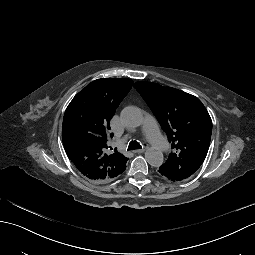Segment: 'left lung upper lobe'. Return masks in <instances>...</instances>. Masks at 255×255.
<instances>
[{
  "label": "left lung upper lobe",
  "instance_id": "5c2ea615",
  "mask_svg": "<svg viewBox=\"0 0 255 255\" xmlns=\"http://www.w3.org/2000/svg\"><path fill=\"white\" fill-rule=\"evenodd\" d=\"M135 89L166 132L173 152L160 166L173 181H182L202 165L210 145L212 121L195 96L171 87L138 81Z\"/></svg>",
  "mask_w": 255,
  "mask_h": 255
}]
</instances>
